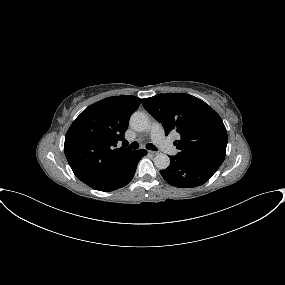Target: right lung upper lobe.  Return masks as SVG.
<instances>
[{
    "mask_svg": "<svg viewBox=\"0 0 285 285\" xmlns=\"http://www.w3.org/2000/svg\"><path fill=\"white\" fill-rule=\"evenodd\" d=\"M141 99L113 96L87 107L65 136L64 152L76 177L87 185L117 175L132 161L135 151L115 148L125 141L130 115Z\"/></svg>",
    "mask_w": 285,
    "mask_h": 285,
    "instance_id": "cb5924a9",
    "label": "right lung upper lobe"
}]
</instances>
